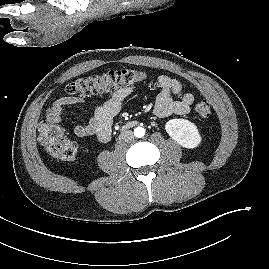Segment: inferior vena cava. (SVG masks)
Listing matches in <instances>:
<instances>
[{"mask_svg":"<svg viewBox=\"0 0 269 269\" xmlns=\"http://www.w3.org/2000/svg\"><path fill=\"white\" fill-rule=\"evenodd\" d=\"M134 138L133 132L131 130H124L119 135V140L121 141H131Z\"/></svg>","mask_w":269,"mask_h":269,"instance_id":"602c4592","label":"inferior vena cava"}]
</instances>
